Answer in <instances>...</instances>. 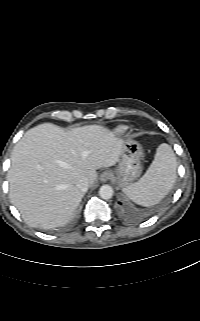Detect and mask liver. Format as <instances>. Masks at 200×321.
<instances>
[{
    "label": "liver",
    "instance_id": "obj_1",
    "mask_svg": "<svg viewBox=\"0 0 200 321\" xmlns=\"http://www.w3.org/2000/svg\"><path fill=\"white\" fill-rule=\"evenodd\" d=\"M123 143L100 125L65 131L44 123L29 129L11 154L7 179L12 204L31 227L65 225L85 193L78 181L86 179L93 187L97 169L119 162Z\"/></svg>",
    "mask_w": 200,
    "mask_h": 321
}]
</instances>
